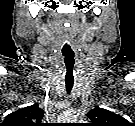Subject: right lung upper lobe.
<instances>
[{"label": "right lung upper lobe", "mask_w": 135, "mask_h": 126, "mask_svg": "<svg viewBox=\"0 0 135 126\" xmlns=\"http://www.w3.org/2000/svg\"><path fill=\"white\" fill-rule=\"evenodd\" d=\"M44 116V111L38 104L19 109L10 113L4 119L5 126H38Z\"/></svg>", "instance_id": "right-lung-upper-lobe-1"}]
</instances>
